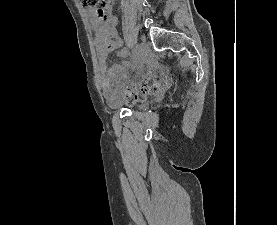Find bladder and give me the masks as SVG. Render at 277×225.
Here are the masks:
<instances>
[{"label": "bladder", "mask_w": 277, "mask_h": 225, "mask_svg": "<svg viewBox=\"0 0 277 225\" xmlns=\"http://www.w3.org/2000/svg\"><path fill=\"white\" fill-rule=\"evenodd\" d=\"M122 106V104L120 103V104H118L116 107H121ZM139 107H141V108H146L147 107V103H141V104H139Z\"/></svg>", "instance_id": "obj_1"}]
</instances>
